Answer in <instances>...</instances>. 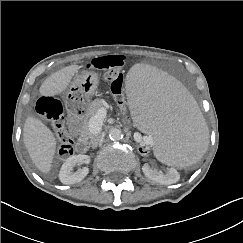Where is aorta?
Segmentation results:
<instances>
[{"instance_id":"obj_1","label":"aorta","mask_w":243,"mask_h":243,"mask_svg":"<svg viewBox=\"0 0 243 243\" xmlns=\"http://www.w3.org/2000/svg\"><path fill=\"white\" fill-rule=\"evenodd\" d=\"M108 136L111 140H120L123 138V133L121 129L113 127L109 130Z\"/></svg>"}]
</instances>
